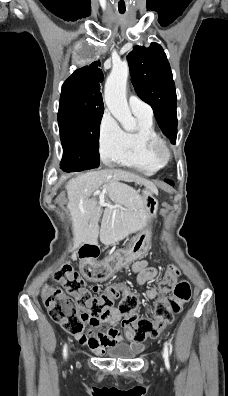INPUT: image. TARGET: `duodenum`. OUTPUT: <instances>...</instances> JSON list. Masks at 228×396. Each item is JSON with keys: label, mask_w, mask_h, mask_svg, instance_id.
Returning a JSON list of instances; mask_svg holds the SVG:
<instances>
[{"label": "duodenum", "mask_w": 228, "mask_h": 396, "mask_svg": "<svg viewBox=\"0 0 228 396\" xmlns=\"http://www.w3.org/2000/svg\"><path fill=\"white\" fill-rule=\"evenodd\" d=\"M82 251H84L86 254H90L94 251H98V248L93 242H86L83 246Z\"/></svg>", "instance_id": "410a0bca"}]
</instances>
